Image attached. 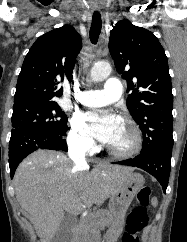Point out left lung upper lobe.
<instances>
[{"mask_svg":"<svg viewBox=\"0 0 187 242\" xmlns=\"http://www.w3.org/2000/svg\"><path fill=\"white\" fill-rule=\"evenodd\" d=\"M109 51L127 81V108L143 133L141 153L173 147V95L164 49L155 35L119 21L111 30Z\"/></svg>","mask_w":187,"mask_h":242,"instance_id":"5c2ea615","label":"left lung upper lobe"}]
</instances>
